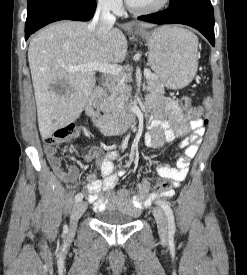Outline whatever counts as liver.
Returning a JSON list of instances; mask_svg holds the SVG:
<instances>
[{"mask_svg": "<svg viewBox=\"0 0 247 275\" xmlns=\"http://www.w3.org/2000/svg\"><path fill=\"white\" fill-rule=\"evenodd\" d=\"M138 25L154 27L151 23ZM126 55L127 40L117 28L105 39L89 30L87 23L77 21L57 22L38 32L30 41L28 61L41 137L49 138L74 122L95 86L93 72H70L68 67L120 63ZM58 83L62 92L55 88Z\"/></svg>", "mask_w": 247, "mask_h": 275, "instance_id": "1", "label": "liver"}]
</instances>
